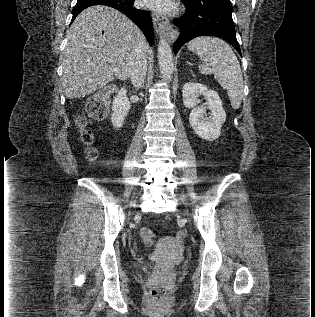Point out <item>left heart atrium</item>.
Listing matches in <instances>:
<instances>
[{
    "label": "left heart atrium",
    "mask_w": 315,
    "mask_h": 317,
    "mask_svg": "<svg viewBox=\"0 0 315 317\" xmlns=\"http://www.w3.org/2000/svg\"><path fill=\"white\" fill-rule=\"evenodd\" d=\"M141 3L159 12H168L172 8V0H141Z\"/></svg>",
    "instance_id": "1"
}]
</instances>
